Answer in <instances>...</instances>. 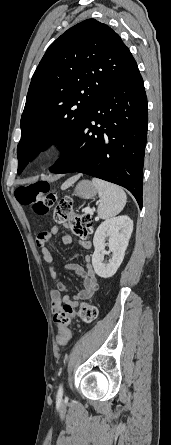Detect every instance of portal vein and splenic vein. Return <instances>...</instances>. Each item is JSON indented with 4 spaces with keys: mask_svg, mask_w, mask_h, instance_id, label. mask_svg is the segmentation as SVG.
Listing matches in <instances>:
<instances>
[{
    "mask_svg": "<svg viewBox=\"0 0 171 445\" xmlns=\"http://www.w3.org/2000/svg\"><path fill=\"white\" fill-rule=\"evenodd\" d=\"M85 212H86V213H89V214H93V210L90 209V208H86V209H85Z\"/></svg>",
    "mask_w": 171,
    "mask_h": 445,
    "instance_id": "portal-vein-and-splenic-vein-1",
    "label": "portal vein and splenic vein"
}]
</instances>
